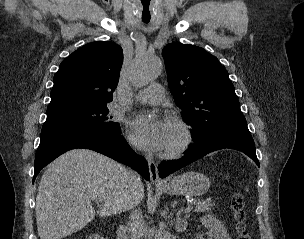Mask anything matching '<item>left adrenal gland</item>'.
Wrapping results in <instances>:
<instances>
[{"mask_svg":"<svg viewBox=\"0 0 304 239\" xmlns=\"http://www.w3.org/2000/svg\"><path fill=\"white\" fill-rule=\"evenodd\" d=\"M189 218V215L186 214L184 218L177 216L176 218V223H175V228L177 232H183L186 230L188 222L187 219Z\"/></svg>","mask_w":304,"mask_h":239,"instance_id":"left-adrenal-gland-1","label":"left adrenal gland"}]
</instances>
